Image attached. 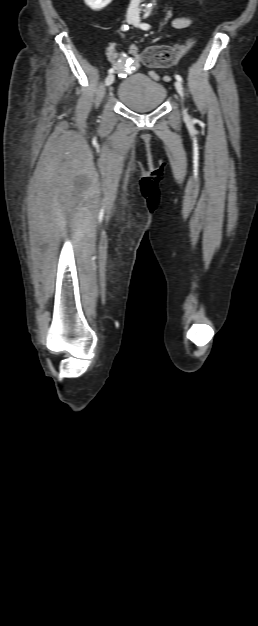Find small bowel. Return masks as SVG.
Listing matches in <instances>:
<instances>
[{"label": "small bowel", "mask_w": 258, "mask_h": 626, "mask_svg": "<svg viewBox=\"0 0 258 626\" xmlns=\"http://www.w3.org/2000/svg\"><path fill=\"white\" fill-rule=\"evenodd\" d=\"M193 20L189 17H179L172 21V26L176 29L187 28L192 24ZM107 56L109 61L116 67L118 71H124L130 68V58L119 51L115 44H110L107 48ZM150 76L154 80H160V76L154 71L150 72ZM163 79L165 81H169L170 78L168 76H164Z\"/></svg>", "instance_id": "1"}]
</instances>
